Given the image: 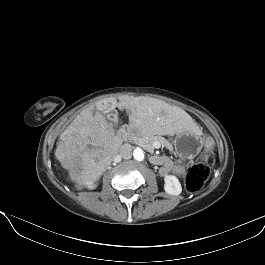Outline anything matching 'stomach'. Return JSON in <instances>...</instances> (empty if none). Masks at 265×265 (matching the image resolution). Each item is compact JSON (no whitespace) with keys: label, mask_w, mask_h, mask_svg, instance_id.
<instances>
[{"label":"stomach","mask_w":265,"mask_h":265,"mask_svg":"<svg viewBox=\"0 0 265 265\" xmlns=\"http://www.w3.org/2000/svg\"><path fill=\"white\" fill-rule=\"evenodd\" d=\"M172 141L176 154L185 159L196 157L203 145L200 135L191 131L175 134Z\"/></svg>","instance_id":"0dacf381"}]
</instances>
